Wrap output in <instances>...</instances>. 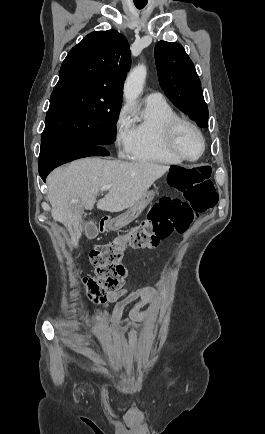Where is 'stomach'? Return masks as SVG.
Here are the masks:
<instances>
[{
    "label": "stomach",
    "mask_w": 265,
    "mask_h": 434,
    "mask_svg": "<svg viewBox=\"0 0 265 434\" xmlns=\"http://www.w3.org/2000/svg\"><path fill=\"white\" fill-rule=\"evenodd\" d=\"M156 192L154 190H151V192H145L144 196L138 200V202H135L134 206L132 208H129L123 216H121L120 220H114L115 223L111 222L108 224L107 229L110 232H115L120 230V225L122 222H125V224H129V222H132V220H135L141 212H143L144 208L150 204L151 200H153Z\"/></svg>",
    "instance_id": "stomach-1"
}]
</instances>
